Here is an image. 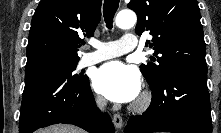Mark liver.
I'll use <instances>...</instances> for the list:
<instances>
[{"mask_svg": "<svg viewBox=\"0 0 221 133\" xmlns=\"http://www.w3.org/2000/svg\"><path fill=\"white\" fill-rule=\"evenodd\" d=\"M38 133H84L83 130L71 125L57 124L48 128L39 130Z\"/></svg>", "mask_w": 221, "mask_h": 133, "instance_id": "6515ba94", "label": "liver"}]
</instances>
